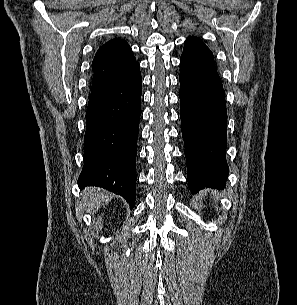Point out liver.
Returning <instances> with one entry per match:
<instances>
[{
    "label": "liver",
    "mask_w": 297,
    "mask_h": 305,
    "mask_svg": "<svg viewBox=\"0 0 297 305\" xmlns=\"http://www.w3.org/2000/svg\"><path fill=\"white\" fill-rule=\"evenodd\" d=\"M104 193L96 188H88L83 192L82 207L90 208L91 210H98L104 200Z\"/></svg>",
    "instance_id": "obj_1"
}]
</instances>
